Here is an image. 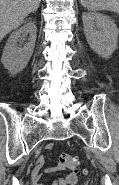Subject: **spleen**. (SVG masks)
<instances>
[{
  "label": "spleen",
  "mask_w": 119,
  "mask_h": 185,
  "mask_svg": "<svg viewBox=\"0 0 119 185\" xmlns=\"http://www.w3.org/2000/svg\"><path fill=\"white\" fill-rule=\"evenodd\" d=\"M90 11L109 10L119 14V0H79Z\"/></svg>",
  "instance_id": "obj_1"
}]
</instances>
